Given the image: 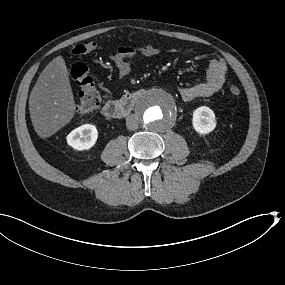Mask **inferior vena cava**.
Wrapping results in <instances>:
<instances>
[{"label":"inferior vena cava","instance_id":"1","mask_svg":"<svg viewBox=\"0 0 285 285\" xmlns=\"http://www.w3.org/2000/svg\"><path fill=\"white\" fill-rule=\"evenodd\" d=\"M126 126L129 130H136L138 128V117L135 114L129 115L126 118Z\"/></svg>","mask_w":285,"mask_h":285}]
</instances>
